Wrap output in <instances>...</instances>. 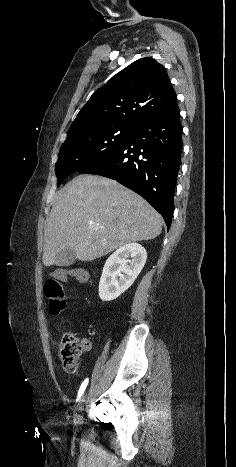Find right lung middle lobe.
I'll return each mask as SVG.
<instances>
[{"label":"right lung middle lobe","mask_w":236,"mask_h":467,"mask_svg":"<svg viewBox=\"0 0 236 467\" xmlns=\"http://www.w3.org/2000/svg\"><path fill=\"white\" fill-rule=\"evenodd\" d=\"M135 128L114 125L67 135L55 164L57 186L67 176L100 162L121 147Z\"/></svg>","instance_id":"obj_1"}]
</instances>
